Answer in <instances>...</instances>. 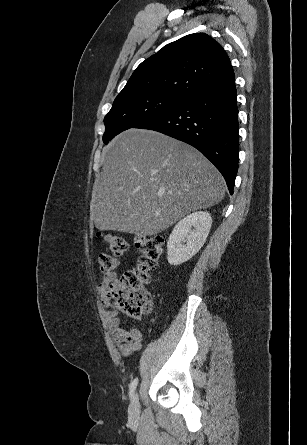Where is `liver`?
Masks as SVG:
<instances>
[{
  "label": "liver",
  "instance_id": "obj_1",
  "mask_svg": "<svg viewBox=\"0 0 307 445\" xmlns=\"http://www.w3.org/2000/svg\"><path fill=\"white\" fill-rule=\"evenodd\" d=\"M103 152L90 202L99 231L151 237L225 196L222 174L214 164L190 144L162 132L129 128Z\"/></svg>",
  "mask_w": 307,
  "mask_h": 445
}]
</instances>
